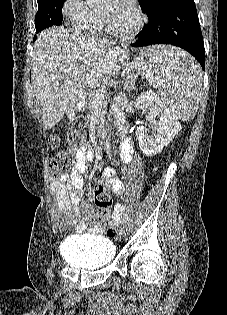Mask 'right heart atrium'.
I'll return each mask as SVG.
<instances>
[{"mask_svg": "<svg viewBox=\"0 0 227 315\" xmlns=\"http://www.w3.org/2000/svg\"><path fill=\"white\" fill-rule=\"evenodd\" d=\"M62 14L70 26L81 29L101 19L100 13L92 9L85 0H64Z\"/></svg>", "mask_w": 227, "mask_h": 315, "instance_id": "1", "label": "right heart atrium"}]
</instances>
